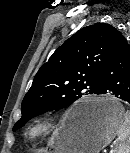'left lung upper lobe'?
Segmentation results:
<instances>
[{"label": "left lung upper lobe", "mask_w": 130, "mask_h": 153, "mask_svg": "<svg viewBox=\"0 0 130 153\" xmlns=\"http://www.w3.org/2000/svg\"><path fill=\"white\" fill-rule=\"evenodd\" d=\"M122 37L115 27L96 23L67 39L35 75L13 131L37 115L97 94L102 71Z\"/></svg>", "instance_id": "5c2ea615"}]
</instances>
